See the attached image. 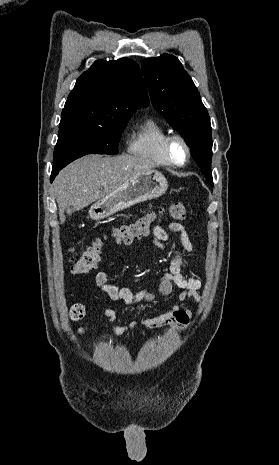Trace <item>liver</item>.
Instances as JSON below:
<instances>
[{
    "label": "liver",
    "mask_w": 279,
    "mask_h": 465,
    "mask_svg": "<svg viewBox=\"0 0 279 465\" xmlns=\"http://www.w3.org/2000/svg\"><path fill=\"white\" fill-rule=\"evenodd\" d=\"M152 163L141 156L115 157L88 155L69 164L53 182L60 222L64 212L71 214L114 192L133 176L152 170ZM71 209V212L68 210Z\"/></svg>",
    "instance_id": "6515ba94"
}]
</instances>
